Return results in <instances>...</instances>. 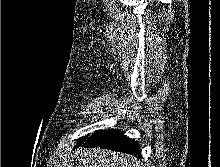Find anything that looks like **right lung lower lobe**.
Listing matches in <instances>:
<instances>
[{
    "mask_svg": "<svg viewBox=\"0 0 220 167\" xmlns=\"http://www.w3.org/2000/svg\"><path fill=\"white\" fill-rule=\"evenodd\" d=\"M83 146L101 147L134 156L140 155L139 145L134 140L117 130L97 131L83 143Z\"/></svg>",
    "mask_w": 220,
    "mask_h": 167,
    "instance_id": "right-lung-lower-lobe-1",
    "label": "right lung lower lobe"
}]
</instances>
